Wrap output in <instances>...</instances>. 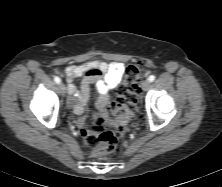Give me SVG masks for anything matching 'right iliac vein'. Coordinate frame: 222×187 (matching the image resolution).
<instances>
[{"label":"right iliac vein","instance_id":"63e3f726","mask_svg":"<svg viewBox=\"0 0 222 187\" xmlns=\"http://www.w3.org/2000/svg\"><path fill=\"white\" fill-rule=\"evenodd\" d=\"M59 90L62 96L66 95V87L63 83H59Z\"/></svg>","mask_w":222,"mask_h":187}]
</instances>
